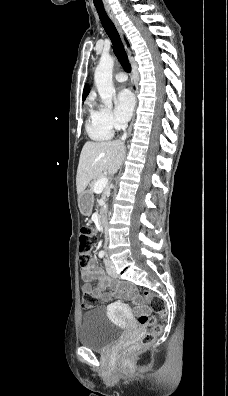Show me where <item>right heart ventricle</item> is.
<instances>
[{
    "label": "right heart ventricle",
    "mask_w": 228,
    "mask_h": 396,
    "mask_svg": "<svg viewBox=\"0 0 228 396\" xmlns=\"http://www.w3.org/2000/svg\"><path fill=\"white\" fill-rule=\"evenodd\" d=\"M86 130L89 136L96 141L109 140L113 135V131L106 128L99 121V119L96 116V111L92 108H90V115L86 124Z\"/></svg>",
    "instance_id": "1"
}]
</instances>
